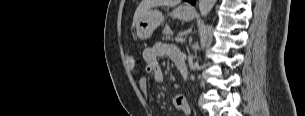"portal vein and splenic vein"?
I'll return each instance as SVG.
<instances>
[{
	"label": "portal vein and splenic vein",
	"instance_id": "1",
	"mask_svg": "<svg viewBox=\"0 0 305 116\" xmlns=\"http://www.w3.org/2000/svg\"><path fill=\"white\" fill-rule=\"evenodd\" d=\"M175 41H176V42H183L184 39H183V37L180 36V37H176V38H175Z\"/></svg>",
	"mask_w": 305,
	"mask_h": 116
}]
</instances>
